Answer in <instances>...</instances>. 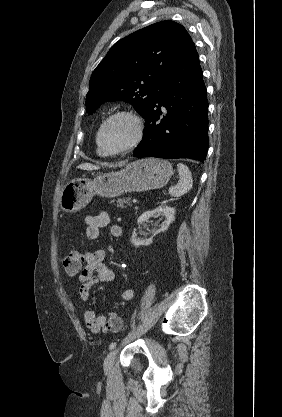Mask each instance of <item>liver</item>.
<instances>
[{"label":"liver","instance_id":"liver-1","mask_svg":"<svg viewBox=\"0 0 282 417\" xmlns=\"http://www.w3.org/2000/svg\"><path fill=\"white\" fill-rule=\"evenodd\" d=\"M77 168H82V170H98L101 166L97 164H91V162H83V164H78Z\"/></svg>","mask_w":282,"mask_h":417}]
</instances>
